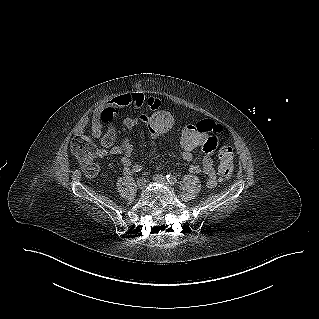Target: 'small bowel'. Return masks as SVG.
I'll list each match as a JSON object with an SVG mask.
<instances>
[{
  "mask_svg": "<svg viewBox=\"0 0 319 319\" xmlns=\"http://www.w3.org/2000/svg\"><path fill=\"white\" fill-rule=\"evenodd\" d=\"M146 104L152 113H171V104H162L156 98H148L145 100L144 95L141 93L133 92L115 96L96 108L95 113L91 118V133L90 136L86 135V128L88 123L83 121L75 129L74 135L76 137H87L95 147L99 148V156L106 157L110 155L122 156L121 162L126 173L133 171L131 155L133 153V144L130 139V131L135 127L138 122L147 124L149 128V115L140 114L138 118H129L125 123V114L117 107H141ZM125 123V133L119 145L112 146L120 135V128ZM192 125V124H190ZM187 125V126H190ZM150 135L153 138L159 136L154 135L149 129ZM224 136L222 129L217 128L211 133L210 138L205 141L203 152L205 156L202 160V166L193 164L189 167V171L193 174L204 173L208 177L207 184L209 187H214L217 184V176L214 169V161L212 153L216 149L219 140ZM186 161L193 159V154L186 155L182 153ZM159 166L158 168H160Z\"/></svg>",
  "mask_w": 319,
  "mask_h": 319,
  "instance_id": "c3829d8e",
  "label": "small bowel"
}]
</instances>
